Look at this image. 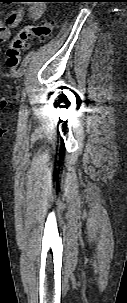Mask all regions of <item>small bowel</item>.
I'll return each mask as SVG.
<instances>
[{"label": "small bowel", "instance_id": "small-bowel-1", "mask_svg": "<svg viewBox=\"0 0 127 303\" xmlns=\"http://www.w3.org/2000/svg\"><path fill=\"white\" fill-rule=\"evenodd\" d=\"M33 2L30 4L27 14L31 20H39L42 18L45 10L44 4L40 3L41 0L30 1ZM24 15V10L19 9L12 11L7 14L5 19L0 18V41L6 40L10 35V29L17 27Z\"/></svg>", "mask_w": 127, "mask_h": 303}]
</instances>
